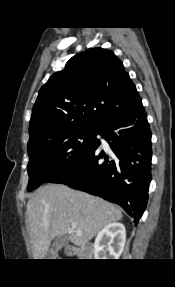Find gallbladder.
Wrapping results in <instances>:
<instances>
[{
    "label": "gallbladder",
    "mask_w": 175,
    "mask_h": 287,
    "mask_svg": "<svg viewBox=\"0 0 175 287\" xmlns=\"http://www.w3.org/2000/svg\"><path fill=\"white\" fill-rule=\"evenodd\" d=\"M69 242V236L68 235H61L58 236L55 241L53 242L50 250L47 253V259H52L53 257L57 256L58 251L67 245Z\"/></svg>",
    "instance_id": "gallbladder-1"
}]
</instances>
